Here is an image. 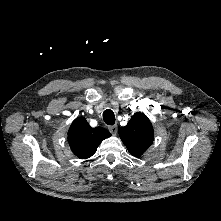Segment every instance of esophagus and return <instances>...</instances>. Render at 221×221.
<instances>
[{
  "instance_id": "obj_1",
  "label": "esophagus",
  "mask_w": 221,
  "mask_h": 221,
  "mask_svg": "<svg viewBox=\"0 0 221 221\" xmlns=\"http://www.w3.org/2000/svg\"><path fill=\"white\" fill-rule=\"evenodd\" d=\"M109 131L111 132L112 135H116L117 133V125H110L108 127Z\"/></svg>"
}]
</instances>
